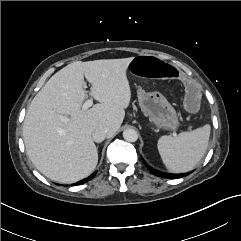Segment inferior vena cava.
<instances>
[{
    "label": "inferior vena cava",
    "instance_id": "inferior-vena-cava-1",
    "mask_svg": "<svg viewBox=\"0 0 241 241\" xmlns=\"http://www.w3.org/2000/svg\"><path fill=\"white\" fill-rule=\"evenodd\" d=\"M106 137V131L103 128L96 129L93 134L92 138L95 142L100 143L102 142Z\"/></svg>",
    "mask_w": 241,
    "mask_h": 241
}]
</instances>
